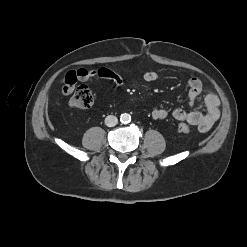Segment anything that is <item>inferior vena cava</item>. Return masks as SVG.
<instances>
[{"label":"inferior vena cava","mask_w":247,"mask_h":247,"mask_svg":"<svg viewBox=\"0 0 247 247\" xmlns=\"http://www.w3.org/2000/svg\"><path fill=\"white\" fill-rule=\"evenodd\" d=\"M118 122V119L116 116L114 115H109L105 118V124L108 126V127H113L117 124Z\"/></svg>","instance_id":"inferior-vena-cava-1"}]
</instances>
